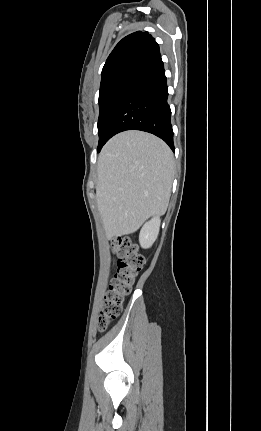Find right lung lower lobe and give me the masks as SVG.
Returning <instances> with one entry per match:
<instances>
[{
  "mask_svg": "<svg viewBox=\"0 0 261 431\" xmlns=\"http://www.w3.org/2000/svg\"><path fill=\"white\" fill-rule=\"evenodd\" d=\"M167 80L161 57L145 66L123 98L109 128V139L126 130H141L163 139L174 151Z\"/></svg>",
  "mask_w": 261,
  "mask_h": 431,
  "instance_id": "obj_1",
  "label": "right lung lower lobe"
}]
</instances>
